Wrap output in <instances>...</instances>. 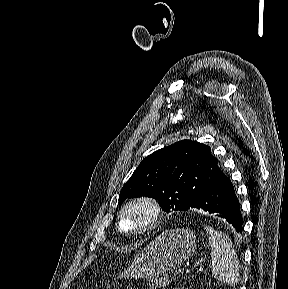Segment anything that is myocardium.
<instances>
[{"instance_id": "f54148a6", "label": "myocardium", "mask_w": 288, "mask_h": 289, "mask_svg": "<svg viewBox=\"0 0 288 289\" xmlns=\"http://www.w3.org/2000/svg\"><path fill=\"white\" fill-rule=\"evenodd\" d=\"M134 207H141L144 208L148 214L146 222L140 226L137 229L134 230H124L121 226V221L124 213L128 211L131 208ZM163 210L160 202L156 200L155 198L151 196H137L134 197L130 200H128L120 209L118 216H117V221H116V226L117 229L124 235L127 236H140L144 235L153 229H155L162 218Z\"/></svg>"}]
</instances>
